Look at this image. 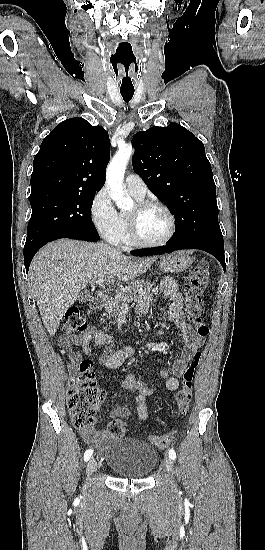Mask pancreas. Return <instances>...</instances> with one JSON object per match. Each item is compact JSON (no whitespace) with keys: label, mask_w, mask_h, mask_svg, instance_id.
I'll list each match as a JSON object with an SVG mask.
<instances>
[{"label":"pancreas","mask_w":265,"mask_h":550,"mask_svg":"<svg viewBox=\"0 0 265 550\" xmlns=\"http://www.w3.org/2000/svg\"><path fill=\"white\" fill-rule=\"evenodd\" d=\"M154 286V283L143 280L131 282L130 285L117 293L116 296L105 305L106 315L111 317L117 316L120 311L126 307V302H130L133 299L148 302L152 301L153 295L158 292V289Z\"/></svg>","instance_id":"cf45deb5"}]
</instances>
